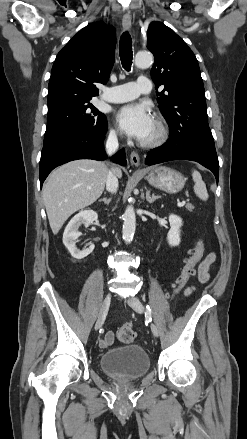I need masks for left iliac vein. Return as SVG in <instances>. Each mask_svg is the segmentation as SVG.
<instances>
[{"label":"left iliac vein","instance_id":"obj_1","mask_svg":"<svg viewBox=\"0 0 247 439\" xmlns=\"http://www.w3.org/2000/svg\"><path fill=\"white\" fill-rule=\"evenodd\" d=\"M127 303L137 313L141 314L144 312V306H143L142 302L137 297L128 298ZM150 327H151V331H152L153 335L155 337H158L159 331H158V328L156 327V325L151 323Z\"/></svg>","mask_w":247,"mask_h":439}]
</instances>
